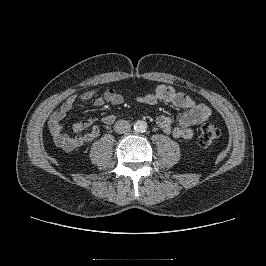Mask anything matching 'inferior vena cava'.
I'll list each match as a JSON object with an SVG mask.
<instances>
[{
  "instance_id": "602c4592",
  "label": "inferior vena cava",
  "mask_w": 266,
  "mask_h": 266,
  "mask_svg": "<svg viewBox=\"0 0 266 266\" xmlns=\"http://www.w3.org/2000/svg\"><path fill=\"white\" fill-rule=\"evenodd\" d=\"M131 129V124L126 120H119L114 124L115 132L119 134H124L129 132Z\"/></svg>"
}]
</instances>
